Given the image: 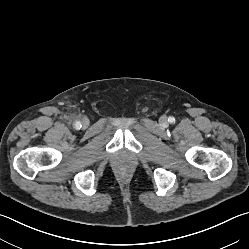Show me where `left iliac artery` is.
Here are the masks:
<instances>
[{
	"mask_svg": "<svg viewBox=\"0 0 249 249\" xmlns=\"http://www.w3.org/2000/svg\"><path fill=\"white\" fill-rule=\"evenodd\" d=\"M168 121H169L170 123H174V122H175V118L172 117V116H170V117L168 118Z\"/></svg>",
	"mask_w": 249,
	"mask_h": 249,
	"instance_id": "1",
	"label": "left iliac artery"
}]
</instances>
